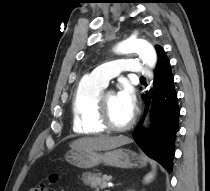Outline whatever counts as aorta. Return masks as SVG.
Here are the masks:
<instances>
[{
  "mask_svg": "<svg viewBox=\"0 0 210 191\" xmlns=\"http://www.w3.org/2000/svg\"><path fill=\"white\" fill-rule=\"evenodd\" d=\"M115 51L119 54L135 52L139 55V58L150 68H154L157 63V54L154 47L143 39L128 38L119 43Z\"/></svg>",
  "mask_w": 210,
  "mask_h": 191,
  "instance_id": "obj_1",
  "label": "aorta"
}]
</instances>
